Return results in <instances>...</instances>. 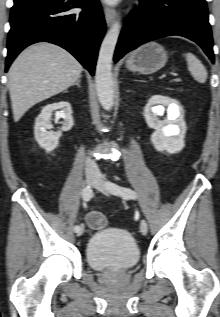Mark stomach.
Listing matches in <instances>:
<instances>
[{
	"label": "stomach",
	"instance_id": "obj_1",
	"mask_svg": "<svg viewBox=\"0 0 220 317\" xmlns=\"http://www.w3.org/2000/svg\"><path fill=\"white\" fill-rule=\"evenodd\" d=\"M167 59L165 49L158 43L151 41L143 44L129 55L126 67L132 72L148 75L164 67Z\"/></svg>",
	"mask_w": 220,
	"mask_h": 317
}]
</instances>
